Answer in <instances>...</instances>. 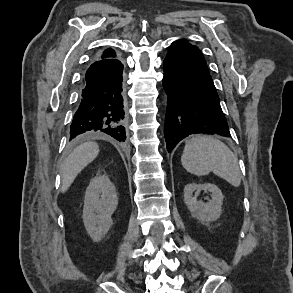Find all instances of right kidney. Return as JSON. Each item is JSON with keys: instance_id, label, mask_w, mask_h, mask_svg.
Listing matches in <instances>:
<instances>
[{"instance_id": "obj_1", "label": "right kidney", "mask_w": 293, "mask_h": 293, "mask_svg": "<svg viewBox=\"0 0 293 293\" xmlns=\"http://www.w3.org/2000/svg\"><path fill=\"white\" fill-rule=\"evenodd\" d=\"M117 205L116 189L109 177L102 175L93 178L85 193L83 222L87 233L94 241H101L111 228V216Z\"/></svg>"}]
</instances>
